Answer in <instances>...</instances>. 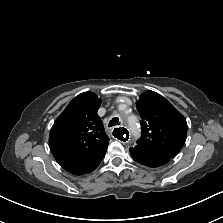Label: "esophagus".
I'll use <instances>...</instances> for the list:
<instances>
[{
  "instance_id": "esophagus-1",
  "label": "esophagus",
  "mask_w": 223,
  "mask_h": 223,
  "mask_svg": "<svg viewBox=\"0 0 223 223\" xmlns=\"http://www.w3.org/2000/svg\"><path fill=\"white\" fill-rule=\"evenodd\" d=\"M112 133H113V138L119 140L121 143L126 144L130 141L129 131L125 127H120V128L115 127L112 130Z\"/></svg>"
}]
</instances>
